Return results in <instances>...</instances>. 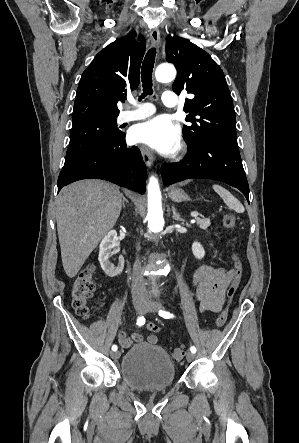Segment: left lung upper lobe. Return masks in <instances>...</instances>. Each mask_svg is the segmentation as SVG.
<instances>
[{
    "label": "left lung upper lobe",
    "mask_w": 299,
    "mask_h": 443,
    "mask_svg": "<svg viewBox=\"0 0 299 443\" xmlns=\"http://www.w3.org/2000/svg\"><path fill=\"white\" fill-rule=\"evenodd\" d=\"M166 59L177 68L173 90L193 94L186 99L184 110L190 114L183 127L188 145L217 139L237 145L235 111L223 71L210 55L178 36L169 37ZM197 116V118H195Z\"/></svg>",
    "instance_id": "obj_1"
}]
</instances>
